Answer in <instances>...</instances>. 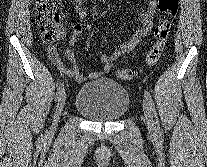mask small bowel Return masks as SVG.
<instances>
[{
  "label": "small bowel",
  "mask_w": 207,
  "mask_h": 167,
  "mask_svg": "<svg viewBox=\"0 0 207 167\" xmlns=\"http://www.w3.org/2000/svg\"><path fill=\"white\" fill-rule=\"evenodd\" d=\"M158 0H148L147 10L140 12L138 14L140 19V26L138 29L129 37V39L124 42L121 46L114 48L109 54H101L99 56L102 62V67L98 70L92 71L88 74H82L80 72V66L78 60L73 51L70 49L65 50L64 54L72 61L73 67L66 68L60 59V56L54 46L50 47L48 50V55L50 60L57 66L61 73L73 78L75 81L82 83L90 80L97 79L104 74H107L112 69L114 62L123 54L132 51L141 39L147 34L152 26L153 17L156 13ZM74 8L81 19L87 17V12L81 6V0H72ZM82 30L80 23L73 25L72 36L70 38V45H74L75 40ZM65 35L64 27L61 30V38Z\"/></svg>",
  "instance_id": "1"
}]
</instances>
